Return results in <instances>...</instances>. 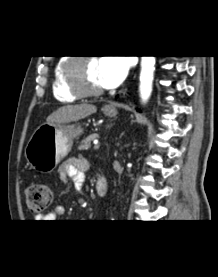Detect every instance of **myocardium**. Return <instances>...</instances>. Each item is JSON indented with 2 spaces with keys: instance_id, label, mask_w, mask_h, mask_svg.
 I'll return each instance as SVG.
<instances>
[{
  "instance_id": "myocardium-1",
  "label": "myocardium",
  "mask_w": 218,
  "mask_h": 277,
  "mask_svg": "<svg viewBox=\"0 0 218 277\" xmlns=\"http://www.w3.org/2000/svg\"><path fill=\"white\" fill-rule=\"evenodd\" d=\"M89 57L66 61L63 67L67 89L78 97H93L103 93V88H88L85 84V67Z\"/></svg>"
}]
</instances>
